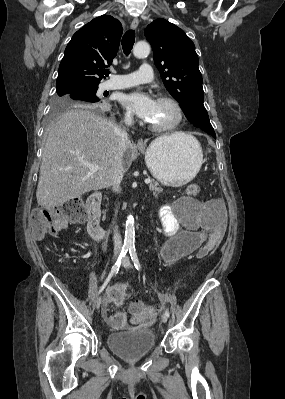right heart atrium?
Here are the masks:
<instances>
[{
  "label": "right heart atrium",
  "mask_w": 285,
  "mask_h": 399,
  "mask_svg": "<svg viewBox=\"0 0 285 399\" xmlns=\"http://www.w3.org/2000/svg\"><path fill=\"white\" fill-rule=\"evenodd\" d=\"M125 117H126L127 119H131V118H132L131 112H130V111H126Z\"/></svg>",
  "instance_id": "right-heart-atrium-1"
}]
</instances>
